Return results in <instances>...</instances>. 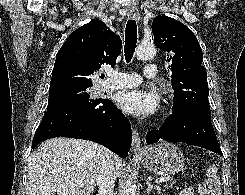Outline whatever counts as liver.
<instances>
[{
  "mask_svg": "<svg viewBox=\"0 0 245 195\" xmlns=\"http://www.w3.org/2000/svg\"><path fill=\"white\" fill-rule=\"evenodd\" d=\"M105 155L106 149L91 141L46 140L29 157L26 195H90ZM112 162L119 177L122 159L113 155Z\"/></svg>",
  "mask_w": 245,
  "mask_h": 195,
  "instance_id": "1",
  "label": "liver"
}]
</instances>
